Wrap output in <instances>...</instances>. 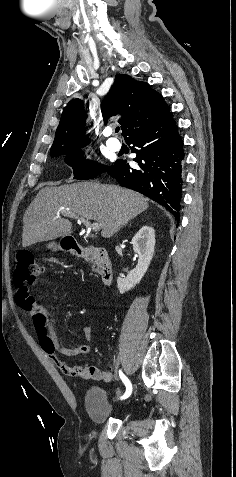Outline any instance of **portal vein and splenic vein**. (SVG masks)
<instances>
[{
  "label": "portal vein and splenic vein",
  "instance_id": "18ae733b",
  "mask_svg": "<svg viewBox=\"0 0 236 477\" xmlns=\"http://www.w3.org/2000/svg\"><path fill=\"white\" fill-rule=\"evenodd\" d=\"M61 214L65 217H70V218H74L78 220L79 223H83L88 229H91L93 231L100 230V225L98 223L91 224L88 220H85L83 217H80L78 215H75L66 211H62Z\"/></svg>",
  "mask_w": 236,
  "mask_h": 477
}]
</instances>
